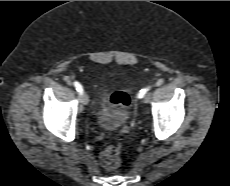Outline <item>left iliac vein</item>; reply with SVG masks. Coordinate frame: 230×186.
Returning a JSON list of instances; mask_svg holds the SVG:
<instances>
[{"mask_svg":"<svg viewBox=\"0 0 230 186\" xmlns=\"http://www.w3.org/2000/svg\"><path fill=\"white\" fill-rule=\"evenodd\" d=\"M149 101H150V96L149 95L144 96L143 102L144 103H149Z\"/></svg>","mask_w":230,"mask_h":186,"instance_id":"obj_1","label":"left iliac vein"}]
</instances>
